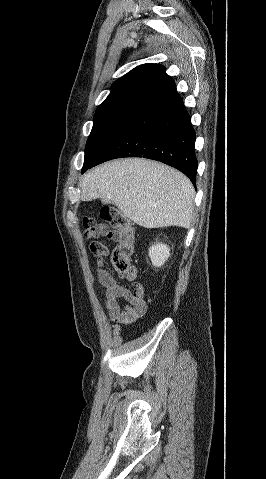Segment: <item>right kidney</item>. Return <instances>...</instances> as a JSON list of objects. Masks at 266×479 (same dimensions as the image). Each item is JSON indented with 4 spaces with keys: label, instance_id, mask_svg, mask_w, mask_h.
Wrapping results in <instances>:
<instances>
[{
    "label": "right kidney",
    "instance_id": "ca27d5eb",
    "mask_svg": "<svg viewBox=\"0 0 266 479\" xmlns=\"http://www.w3.org/2000/svg\"><path fill=\"white\" fill-rule=\"evenodd\" d=\"M149 257L154 267H161L170 257V248L162 243L152 245L149 248Z\"/></svg>",
    "mask_w": 266,
    "mask_h": 479
}]
</instances>
